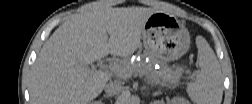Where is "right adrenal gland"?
<instances>
[{"mask_svg":"<svg viewBox=\"0 0 252 104\" xmlns=\"http://www.w3.org/2000/svg\"><path fill=\"white\" fill-rule=\"evenodd\" d=\"M110 94H104L103 97H110Z\"/></svg>","mask_w":252,"mask_h":104,"instance_id":"right-adrenal-gland-1","label":"right adrenal gland"}]
</instances>
